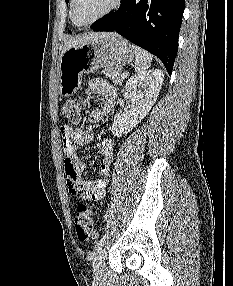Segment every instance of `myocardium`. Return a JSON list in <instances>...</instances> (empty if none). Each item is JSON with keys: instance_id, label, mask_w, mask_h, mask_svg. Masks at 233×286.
Here are the masks:
<instances>
[{"instance_id": "f54148a6", "label": "myocardium", "mask_w": 233, "mask_h": 286, "mask_svg": "<svg viewBox=\"0 0 233 286\" xmlns=\"http://www.w3.org/2000/svg\"><path fill=\"white\" fill-rule=\"evenodd\" d=\"M121 2H122V0H114L112 5L106 11H104L102 14H100L99 16L94 18L93 20H91L89 22H86V23H79L75 19V14H74L76 0H71V5H70V18H71V21L77 27H88V26H91L92 24L98 22L99 20L103 19L104 17L108 16L113 11H115L121 5Z\"/></svg>"}]
</instances>
